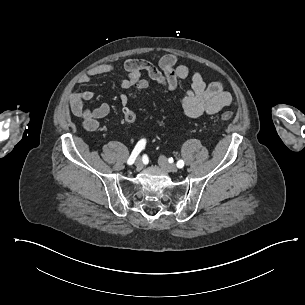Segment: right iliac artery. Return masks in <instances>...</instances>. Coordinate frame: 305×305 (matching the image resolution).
Here are the masks:
<instances>
[{
    "mask_svg": "<svg viewBox=\"0 0 305 305\" xmlns=\"http://www.w3.org/2000/svg\"><path fill=\"white\" fill-rule=\"evenodd\" d=\"M145 144H146V140H145V139H141V140L137 143V145L135 146L134 150L132 151L131 156H130L129 159H128V162H127V163H128L129 165H131V164L134 163V161H135L137 155L141 152V150L144 149Z\"/></svg>",
    "mask_w": 305,
    "mask_h": 305,
    "instance_id": "1",
    "label": "right iliac artery"
}]
</instances>
